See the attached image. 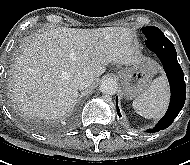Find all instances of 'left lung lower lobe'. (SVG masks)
<instances>
[{
	"instance_id": "1",
	"label": "left lung lower lobe",
	"mask_w": 190,
	"mask_h": 165,
	"mask_svg": "<svg viewBox=\"0 0 190 165\" xmlns=\"http://www.w3.org/2000/svg\"><path fill=\"white\" fill-rule=\"evenodd\" d=\"M146 46L153 51L161 60L166 75L168 77L171 88V100L169 108L162 119L156 124L153 129H148L146 132H158L169 127L174 119L181 111L186 98V86L184 82L183 71L177 61V54L172 42L165 36H159L157 38L145 41ZM117 113L120 110L118 108L117 98Z\"/></svg>"
}]
</instances>
